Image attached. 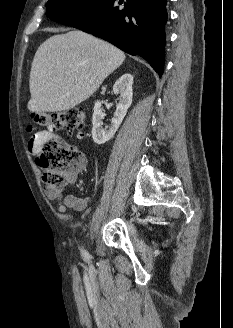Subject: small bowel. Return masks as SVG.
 Returning a JSON list of instances; mask_svg holds the SVG:
<instances>
[{"instance_id": "c3829d8e", "label": "small bowel", "mask_w": 233, "mask_h": 328, "mask_svg": "<svg viewBox=\"0 0 233 328\" xmlns=\"http://www.w3.org/2000/svg\"><path fill=\"white\" fill-rule=\"evenodd\" d=\"M52 137H55V135L52 134L51 132L48 131L37 132L29 140L28 143L29 151L32 153L39 151L43 143ZM46 195L48 199L58 202V209L60 212H65L69 208L81 211L84 209L86 205L84 199L73 195H64L63 190L60 188L48 187L46 189Z\"/></svg>"}]
</instances>
